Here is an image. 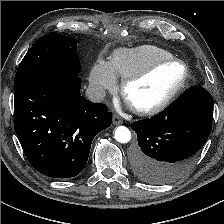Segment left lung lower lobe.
<instances>
[{
    "label": "left lung lower lobe",
    "mask_w": 224,
    "mask_h": 224,
    "mask_svg": "<svg viewBox=\"0 0 224 224\" xmlns=\"http://www.w3.org/2000/svg\"><path fill=\"white\" fill-rule=\"evenodd\" d=\"M212 118L213 98L196 86L158 115L133 122L139 144L133 155L135 175L151 184L181 177L209 137Z\"/></svg>",
    "instance_id": "obj_1"
}]
</instances>
